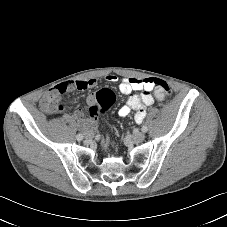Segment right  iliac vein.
<instances>
[{
    "mask_svg": "<svg viewBox=\"0 0 227 227\" xmlns=\"http://www.w3.org/2000/svg\"><path fill=\"white\" fill-rule=\"evenodd\" d=\"M92 137H93V134H92L91 132H89V131L85 134V138H86L87 140H91Z\"/></svg>",
    "mask_w": 227,
    "mask_h": 227,
    "instance_id": "obj_1",
    "label": "right iliac vein"
}]
</instances>
